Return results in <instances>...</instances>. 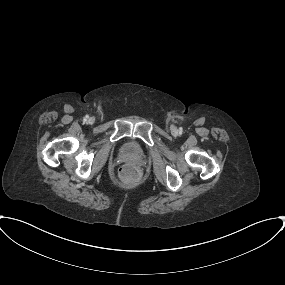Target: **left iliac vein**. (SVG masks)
Instances as JSON below:
<instances>
[{"label":"left iliac vein","mask_w":285,"mask_h":285,"mask_svg":"<svg viewBox=\"0 0 285 285\" xmlns=\"http://www.w3.org/2000/svg\"><path fill=\"white\" fill-rule=\"evenodd\" d=\"M172 131H173V132H176V129H175V128H173V129H172Z\"/></svg>","instance_id":"1"}]
</instances>
